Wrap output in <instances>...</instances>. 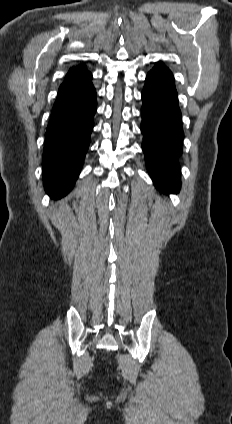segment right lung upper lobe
I'll list each match as a JSON object with an SVG mask.
<instances>
[{
  "label": "right lung upper lobe",
  "instance_id": "right-lung-upper-lobe-1",
  "mask_svg": "<svg viewBox=\"0 0 232 424\" xmlns=\"http://www.w3.org/2000/svg\"><path fill=\"white\" fill-rule=\"evenodd\" d=\"M83 71H86V67L84 65H82V64L81 65H78L76 67H72L68 71L66 77L69 76V75H71V74L78 73V72H83Z\"/></svg>",
  "mask_w": 232,
  "mask_h": 424
}]
</instances>
